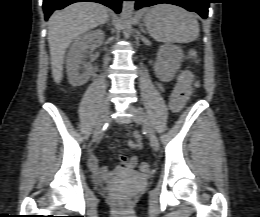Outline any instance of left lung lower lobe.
I'll use <instances>...</instances> for the list:
<instances>
[{"label":"left lung lower lobe","instance_id":"left-lung-lower-lobe-1","mask_svg":"<svg viewBox=\"0 0 260 217\" xmlns=\"http://www.w3.org/2000/svg\"><path fill=\"white\" fill-rule=\"evenodd\" d=\"M135 8L148 7L160 3H168L181 6L189 11L197 12L202 18H207L210 0H133Z\"/></svg>","mask_w":260,"mask_h":217}]
</instances>
